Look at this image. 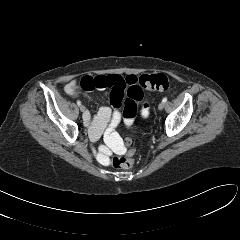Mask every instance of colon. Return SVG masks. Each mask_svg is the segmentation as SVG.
<instances>
[{"mask_svg":"<svg viewBox=\"0 0 240 240\" xmlns=\"http://www.w3.org/2000/svg\"><path fill=\"white\" fill-rule=\"evenodd\" d=\"M142 88L151 91H168L173 88V84L168 77L162 73L147 74L140 76L138 85L131 86L126 92L124 101L123 116L130 124H136L135 117L137 112V103L142 100ZM129 150L126 155L115 156L112 159L113 166L119 169H128L134 164L135 149L133 142L128 141Z\"/></svg>","mask_w":240,"mask_h":240,"instance_id":"colon-1","label":"colon"}]
</instances>
